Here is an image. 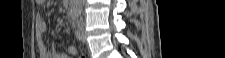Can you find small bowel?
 I'll list each match as a JSON object with an SVG mask.
<instances>
[{
    "label": "small bowel",
    "mask_w": 225,
    "mask_h": 58,
    "mask_svg": "<svg viewBox=\"0 0 225 58\" xmlns=\"http://www.w3.org/2000/svg\"><path fill=\"white\" fill-rule=\"evenodd\" d=\"M38 4H43L44 0H37ZM37 32L42 35L47 31V24L42 18H38L36 22ZM52 36L55 38V33L52 32ZM68 54L71 56H77L78 50L74 45L67 46ZM39 52L42 58H69L68 55L59 53L56 49L48 51L43 42L39 44Z\"/></svg>",
    "instance_id": "c3829d8e"
}]
</instances>
